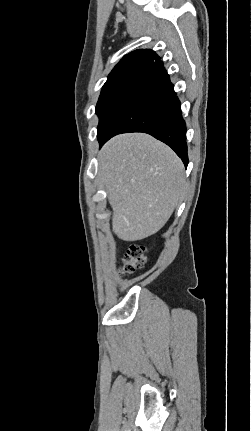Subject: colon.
<instances>
[{
    "mask_svg": "<svg viewBox=\"0 0 251 431\" xmlns=\"http://www.w3.org/2000/svg\"><path fill=\"white\" fill-rule=\"evenodd\" d=\"M146 249L142 245H131L122 259V272L133 273L135 270L144 267L146 264Z\"/></svg>",
    "mask_w": 251,
    "mask_h": 431,
    "instance_id": "obj_1",
    "label": "colon"
}]
</instances>
